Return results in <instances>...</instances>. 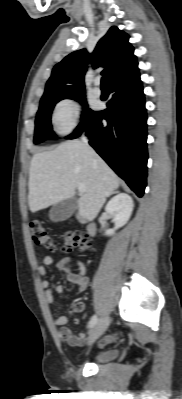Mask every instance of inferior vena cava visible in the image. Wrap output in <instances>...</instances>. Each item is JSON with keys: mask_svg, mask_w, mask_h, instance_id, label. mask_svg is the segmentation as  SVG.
<instances>
[{"mask_svg": "<svg viewBox=\"0 0 182 399\" xmlns=\"http://www.w3.org/2000/svg\"><path fill=\"white\" fill-rule=\"evenodd\" d=\"M82 142L88 145V139L83 135Z\"/></svg>", "mask_w": 182, "mask_h": 399, "instance_id": "602c4592", "label": "inferior vena cava"}]
</instances>
